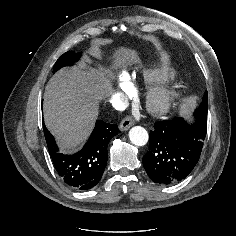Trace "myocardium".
Instances as JSON below:
<instances>
[{
    "label": "myocardium",
    "mask_w": 236,
    "mask_h": 236,
    "mask_svg": "<svg viewBox=\"0 0 236 236\" xmlns=\"http://www.w3.org/2000/svg\"><path fill=\"white\" fill-rule=\"evenodd\" d=\"M176 92L168 85L150 87L144 94V105L148 113L154 116L166 114L172 107Z\"/></svg>",
    "instance_id": "f54148a6"
}]
</instances>
